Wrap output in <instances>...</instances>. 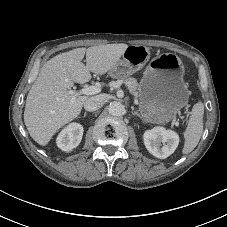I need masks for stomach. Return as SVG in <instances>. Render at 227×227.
Segmentation results:
<instances>
[{
    "instance_id": "obj_1",
    "label": "stomach",
    "mask_w": 227,
    "mask_h": 227,
    "mask_svg": "<svg viewBox=\"0 0 227 227\" xmlns=\"http://www.w3.org/2000/svg\"><path fill=\"white\" fill-rule=\"evenodd\" d=\"M151 57L143 45H129L122 59L109 71L113 78H125L142 69ZM184 65L175 54H160L151 60L140 81L139 112L149 123L171 121L188 103L190 91L184 82Z\"/></svg>"
}]
</instances>
